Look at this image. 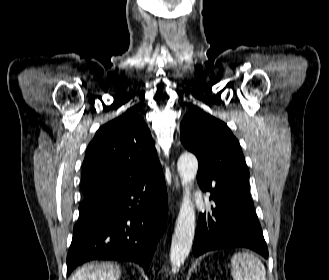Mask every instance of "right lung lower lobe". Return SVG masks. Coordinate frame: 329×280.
Here are the masks:
<instances>
[{
  "label": "right lung lower lobe",
  "instance_id": "1",
  "mask_svg": "<svg viewBox=\"0 0 329 280\" xmlns=\"http://www.w3.org/2000/svg\"><path fill=\"white\" fill-rule=\"evenodd\" d=\"M79 212L67 255V275L95 259L131 261L147 272L166 226L163 173L102 186L85 195Z\"/></svg>",
  "mask_w": 329,
  "mask_h": 280
}]
</instances>
